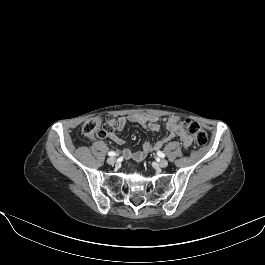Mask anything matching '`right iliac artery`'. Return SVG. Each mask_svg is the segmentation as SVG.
Here are the masks:
<instances>
[{"label": "right iliac artery", "instance_id": "right-iliac-artery-1", "mask_svg": "<svg viewBox=\"0 0 265 265\" xmlns=\"http://www.w3.org/2000/svg\"><path fill=\"white\" fill-rule=\"evenodd\" d=\"M108 155H109V156H115V155H116V153H115V152H113V151H110V152L108 153Z\"/></svg>", "mask_w": 265, "mask_h": 265}]
</instances>
